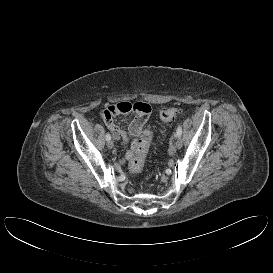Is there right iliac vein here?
<instances>
[{"mask_svg": "<svg viewBox=\"0 0 273 273\" xmlns=\"http://www.w3.org/2000/svg\"><path fill=\"white\" fill-rule=\"evenodd\" d=\"M107 147L112 149L114 147V142L112 140L107 141Z\"/></svg>", "mask_w": 273, "mask_h": 273, "instance_id": "right-iliac-vein-1", "label": "right iliac vein"}]
</instances>
